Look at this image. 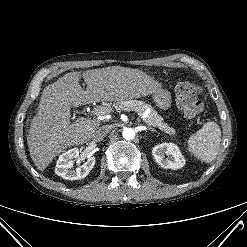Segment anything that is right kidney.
I'll use <instances>...</instances> for the list:
<instances>
[{
	"mask_svg": "<svg viewBox=\"0 0 247 247\" xmlns=\"http://www.w3.org/2000/svg\"><path fill=\"white\" fill-rule=\"evenodd\" d=\"M78 156V148L70 149L60 155L56 163L55 173L66 180L85 178L95 165V157L88 158L82 166L76 168V170H71L74 164L73 159L78 158Z\"/></svg>",
	"mask_w": 247,
	"mask_h": 247,
	"instance_id": "obj_1",
	"label": "right kidney"
}]
</instances>
